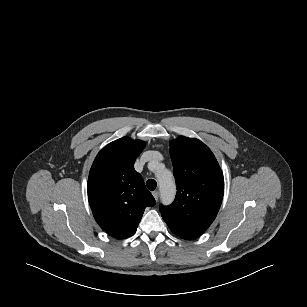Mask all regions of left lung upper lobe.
<instances>
[{"mask_svg":"<svg viewBox=\"0 0 307 307\" xmlns=\"http://www.w3.org/2000/svg\"><path fill=\"white\" fill-rule=\"evenodd\" d=\"M177 195L160 212L170 230L184 239L200 236L221 206L224 178L211 150L195 138L180 136L170 142Z\"/></svg>","mask_w":307,"mask_h":307,"instance_id":"obj_1","label":"left lung upper lobe"}]
</instances>
